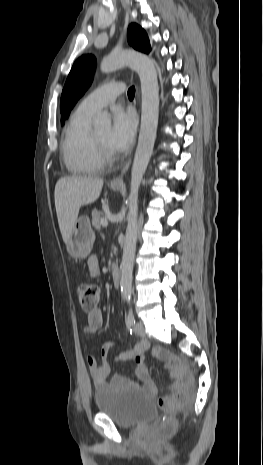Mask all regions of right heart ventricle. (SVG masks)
Wrapping results in <instances>:
<instances>
[{
  "label": "right heart ventricle",
  "instance_id": "1",
  "mask_svg": "<svg viewBox=\"0 0 263 465\" xmlns=\"http://www.w3.org/2000/svg\"><path fill=\"white\" fill-rule=\"evenodd\" d=\"M91 118V114L77 109L65 128L61 145L63 160L66 168L76 175L95 174L104 167L89 129Z\"/></svg>",
  "mask_w": 263,
  "mask_h": 465
}]
</instances>
